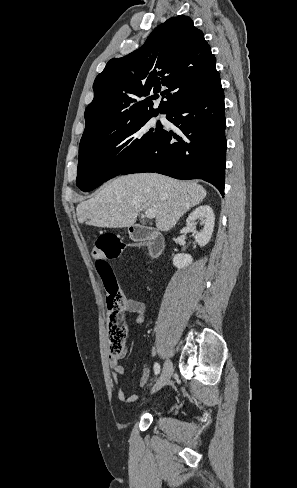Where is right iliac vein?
Masks as SVG:
<instances>
[{"label": "right iliac vein", "mask_w": 297, "mask_h": 488, "mask_svg": "<svg viewBox=\"0 0 297 488\" xmlns=\"http://www.w3.org/2000/svg\"><path fill=\"white\" fill-rule=\"evenodd\" d=\"M172 373H173L172 362L169 359H167L164 363L162 373L158 378L157 382L155 383V385L153 386L151 393H154L159 389H161L162 387H164L169 382Z\"/></svg>", "instance_id": "right-iliac-vein-1"}]
</instances>
